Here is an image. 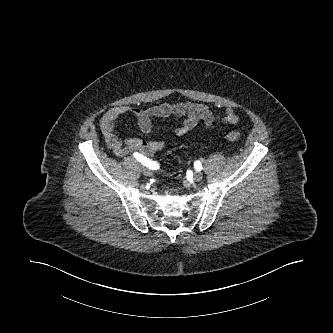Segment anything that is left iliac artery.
<instances>
[{
  "mask_svg": "<svg viewBox=\"0 0 333 333\" xmlns=\"http://www.w3.org/2000/svg\"><path fill=\"white\" fill-rule=\"evenodd\" d=\"M194 168L197 170V171H200L202 170V164L200 161H195L194 162Z\"/></svg>",
  "mask_w": 333,
  "mask_h": 333,
  "instance_id": "obj_1",
  "label": "left iliac artery"
}]
</instances>
